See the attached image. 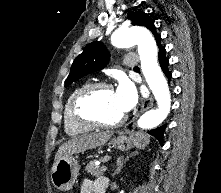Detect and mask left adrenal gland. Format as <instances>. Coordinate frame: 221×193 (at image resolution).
<instances>
[{
    "label": "left adrenal gland",
    "instance_id": "left-adrenal-gland-1",
    "mask_svg": "<svg viewBox=\"0 0 221 193\" xmlns=\"http://www.w3.org/2000/svg\"><path fill=\"white\" fill-rule=\"evenodd\" d=\"M137 154H138V152L136 151V152H133V153L127 155L126 158H124L123 156L119 157L116 161L117 168L115 169L112 176L114 177L116 174H119L121 172V169L124 167V165L129 161V159L134 157Z\"/></svg>",
    "mask_w": 221,
    "mask_h": 193
}]
</instances>
